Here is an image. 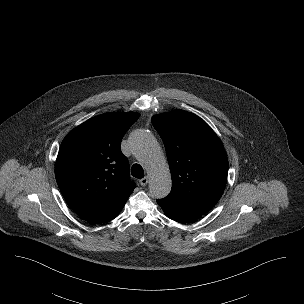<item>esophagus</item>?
<instances>
[{
	"label": "esophagus",
	"instance_id": "34e87169",
	"mask_svg": "<svg viewBox=\"0 0 304 304\" xmlns=\"http://www.w3.org/2000/svg\"><path fill=\"white\" fill-rule=\"evenodd\" d=\"M148 181H149V177H148V176H145L144 178H142V179L140 180V184H141L142 186H146L147 183H148Z\"/></svg>",
	"mask_w": 304,
	"mask_h": 304
}]
</instances>
